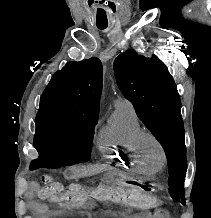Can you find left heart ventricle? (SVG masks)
<instances>
[{"label":"left heart ventricle","mask_w":211,"mask_h":218,"mask_svg":"<svg viewBox=\"0 0 211 218\" xmlns=\"http://www.w3.org/2000/svg\"><path fill=\"white\" fill-rule=\"evenodd\" d=\"M141 154L144 161H146L149 164H152L153 166H158L160 163V155L159 150L156 144L150 140L147 139L144 141L142 147H141Z\"/></svg>","instance_id":"1"}]
</instances>
